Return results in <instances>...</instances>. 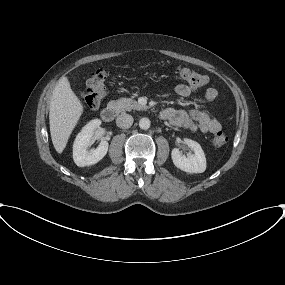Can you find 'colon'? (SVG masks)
<instances>
[{"mask_svg": "<svg viewBox=\"0 0 285 285\" xmlns=\"http://www.w3.org/2000/svg\"><path fill=\"white\" fill-rule=\"evenodd\" d=\"M175 74L193 88H201L209 82L206 75L182 66L176 67ZM107 78L108 71L106 69H97L91 73L87 80L86 88L81 92V97L90 108L95 109L101 104L106 93ZM227 141V136L218 132L213 139V144L216 147H222Z\"/></svg>", "mask_w": 285, "mask_h": 285, "instance_id": "obj_1", "label": "colon"}]
</instances>
